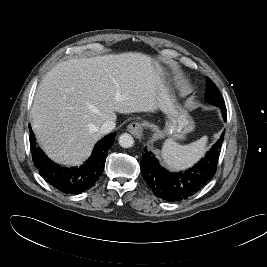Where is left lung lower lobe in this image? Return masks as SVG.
I'll return each mask as SVG.
<instances>
[{"mask_svg":"<svg viewBox=\"0 0 267 267\" xmlns=\"http://www.w3.org/2000/svg\"><path fill=\"white\" fill-rule=\"evenodd\" d=\"M218 107L226 120L225 105ZM223 138L224 133L199 163L179 173H170L162 168L154 154L145 149L140 167L146 183L157 197L167 201H181L191 197L214 176Z\"/></svg>","mask_w":267,"mask_h":267,"instance_id":"0a47b994","label":"left lung lower lobe"}]
</instances>
